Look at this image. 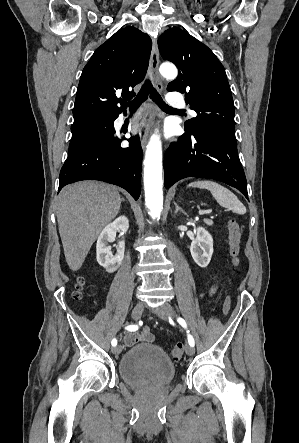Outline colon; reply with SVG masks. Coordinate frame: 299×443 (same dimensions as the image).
I'll list each match as a JSON object with an SVG mask.
<instances>
[{"label": "colon", "mask_w": 299, "mask_h": 443, "mask_svg": "<svg viewBox=\"0 0 299 443\" xmlns=\"http://www.w3.org/2000/svg\"><path fill=\"white\" fill-rule=\"evenodd\" d=\"M228 231H229V253L232 259V263L235 267L240 266V243H241V228L239 224L231 219L228 223ZM84 281L82 278L78 280L77 290L74 293L76 299H80L82 297V288ZM231 307V299L227 297L224 305H223V314H228ZM184 354V345L182 343H178L174 346L172 350V356L174 359L179 360L182 358Z\"/></svg>", "instance_id": "5ec220e1"}]
</instances>
